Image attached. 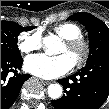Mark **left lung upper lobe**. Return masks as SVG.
<instances>
[{"instance_id":"obj_1","label":"left lung upper lobe","mask_w":109,"mask_h":109,"mask_svg":"<svg viewBox=\"0 0 109 109\" xmlns=\"http://www.w3.org/2000/svg\"><path fill=\"white\" fill-rule=\"evenodd\" d=\"M68 19L80 22L88 31L90 38L88 62L102 56H109V28L104 22L86 12L75 13ZM65 96L67 102L74 103L80 100L81 91L78 87H74L65 91Z\"/></svg>"}]
</instances>
